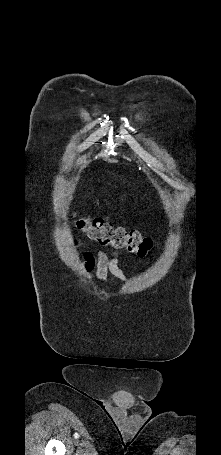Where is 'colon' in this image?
Instances as JSON below:
<instances>
[{
  "label": "colon",
  "instance_id": "1",
  "mask_svg": "<svg viewBox=\"0 0 221 455\" xmlns=\"http://www.w3.org/2000/svg\"><path fill=\"white\" fill-rule=\"evenodd\" d=\"M79 229L100 246L117 250H126L139 257H147L152 250L150 238L144 237L137 230H127L104 222L98 218H77Z\"/></svg>",
  "mask_w": 221,
  "mask_h": 455
}]
</instances>
